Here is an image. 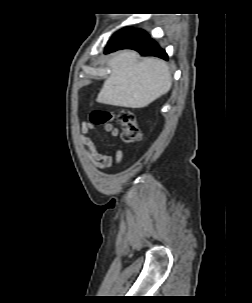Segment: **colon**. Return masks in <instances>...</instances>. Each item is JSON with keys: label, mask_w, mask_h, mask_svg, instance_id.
Returning <instances> with one entry per match:
<instances>
[{"label": "colon", "mask_w": 252, "mask_h": 303, "mask_svg": "<svg viewBox=\"0 0 252 303\" xmlns=\"http://www.w3.org/2000/svg\"><path fill=\"white\" fill-rule=\"evenodd\" d=\"M115 117L122 128V139L128 143L136 142L140 132L136 117L131 111L123 110L115 115L108 110L96 109L90 114L89 120L94 125H105L111 123Z\"/></svg>", "instance_id": "5ec220e1"}]
</instances>
